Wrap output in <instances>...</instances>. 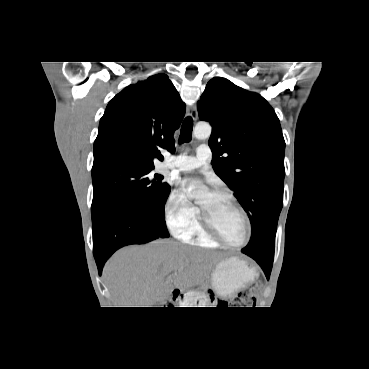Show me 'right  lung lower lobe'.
<instances>
[{
  "instance_id": "98d812e1",
  "label": "right lung lower lobe",
  "mask_w": 369,
  "mask_h": 369,
  "mask_svg": "<svg viewBox=\"0 0 369 369\" xmlns=\"http://www.w3.org/2000/svg\"><path fill=\"white\" fill-rule=\"evenodd\" d=\"M92 222L93 253L99 274L106 260L119 248L165 238L145 211L126 204L108 206Z\"/></svg>"
}]
</instances>
